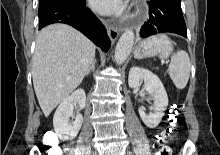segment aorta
Masks as SVG:
<instances>
[{"instance_id":"aorta-1","label":"aorta","mask_w":220,"mask_h":155,"mask_svg":"<svg viewBox=\"0 0 220 155\" xmlns=\"http://www.w3.org/2000/svg\"><path fill=\"white\" fill-rule=\"evenodd\" d=\"M134 39L135 35L132 30H127L121 35L114 54L115 62L118 65L123 64L129 57L134 44Z\"/></svg>"}]
</instances>
